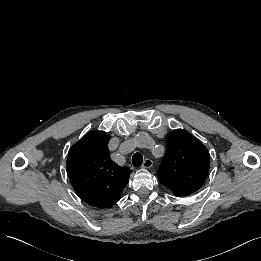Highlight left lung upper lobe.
<instances>
[{"instance_id": "5c2ea615", "label": "left lung upper lobe", "mask_w": 261, "mask_h": 261, "mask_svg": "<svg viewBox=\"0 0 261 261\" xmlns=\"http://www.w3.org/2000/svg\"><path fill=\"white\" fill-rule=\"evenodd\" d=\"M210 164L207 148L183 129L167 136V152L157 172L176 196L190 195L204 183Z\"/></svg>"}]
</instances>
